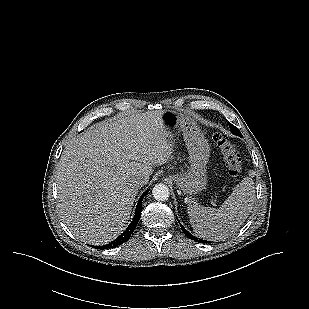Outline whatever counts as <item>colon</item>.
<instances>
[{
    "label": "colon",
    "instance_id": "1",
    "mask_svg": "<svg viewBox=\"0 0 309 309\" xmlns=\"http://www.w3.org/2000/svg\"><path fill=\"white\" fill-rule=\"evenodd\" d=\"M213 138L223 155L228 174L233 178L238 177L242 170V164L236 147L220 133H216Z\"/></svg>",
    "mask_w": 309,
    "mask_h": 309
}]
</instances>
